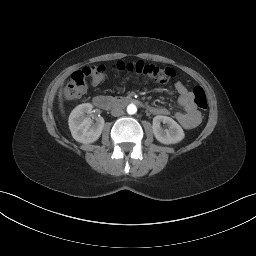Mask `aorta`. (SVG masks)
<instances>
[{
  "label": "aorta",
  "mask_w": 256,
  "mask_h": 256,
  "mask_svg": "<svg viewBox=\"0 0 256 256\" xmlns=\"http://www.w3.org/2000/svg\"><path fill=\"white\" fill-rule=\"evenodd\" d=\"M136 112H137V107H136V105H134V104H129V105L127 106V113H128V114L133 115V114H135Z\"/></svg>",
  "instance_id": "obj_1"
}]
</instances>
